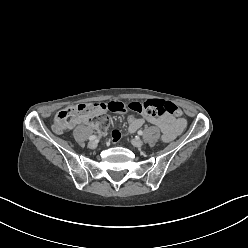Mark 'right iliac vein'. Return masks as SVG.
<instances>
[{"instance_id":"63e3f726","label":"right iliac vein","mask_w":248,"mask_h":248,"mask_svg":"<svg viewBox=\"0 0 248 248\" xmlns=\"http://www.w3.org/2000/svg\"><path fill=\"white\" fill-rule=\"evenodd\" d=\"M88 147L91 148V149H94L97 147V141H90L88 143Z\"/></svg>"}]
</instances>
